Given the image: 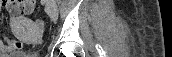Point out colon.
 Instances as JSON below:
<instances>
[{
    "instance_id": "1",
    "label": "colon",
    "mask_w": 172,
    "mask_h": 57,
    "mask_svg": "<svg viewBox=\"0 0 172 57\" xmlns=\"http://www.w3.org/2000/svg\"><path fill=\"white\" fill-rule=\"evenodd\" d=\"M16 14L15 11H11L10 12V15L11 16H14ZM37 24L40 26V27H43L45 25V22L43 20H37Z\"/></svg>"
}]
</instances>
